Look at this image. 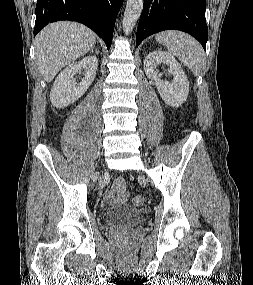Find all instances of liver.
Wrapping results in <instances>:
<instances>
[{
  "label": "liver",
  "mask_w": 253,
  "mask_h": 285,
  "mask_svg": "<svg viewBox=\"0 0 253 285\" xmlns=\"http://www.w3.org/2000/svg\"><path fill=\"white\" fill-rule=\"evenodd\" d=\"M95 43V33L82 24L62 21L47 25L35 38L44 80L51 82L63 67L85 55Z\"/></svg>",
  "instance_id": "1"
}]
</instances>
